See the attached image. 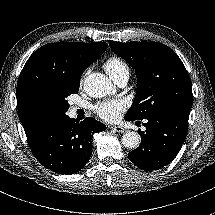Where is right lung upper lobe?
Segmentation results:
<instances>
[{
	"instance_id": "cb5924a9",
	"label": "right lung upper lobe",
	"mask_w": 215,
	"mask_h": 215,
	"mask_svg": "<svg viewBox=\"0 0 215 215\" xmlns=\"http://www.w3.org/2000/svg\"><path fill=\"white\" fill-rule=\"evenodd\" d=\"M108 48L107 43H49L37 49L24 65L16 88L19 119L32 145L50 124L36 112L33 100L41 91L80 85L85 69Z\"/></svg>"
}]
</instances>
